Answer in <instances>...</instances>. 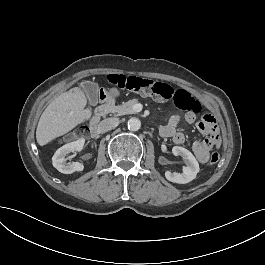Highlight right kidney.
Returning a JSON list of instances; mask_svg holds the SVG:
<instances>
[{
	"label": "right kidney",
	"instance_id": "right-kidney-1",
	"mask_svg": "<svg viewBox=\"0 0 265 265\" xmlns=\"http://www.w3.org/2000/svg\"><path fill=\"white\" fill-rule=\"evenodd\" d=\"M85 141V138H80L59 148L52 157V165L63 174H72L74 172L83 171V163L78 161L67 162V160L71 159L72 153L82 150Z\"/></svg>",
	"mask_w": 265,
	"mask_h": 265
}]
</instances>
